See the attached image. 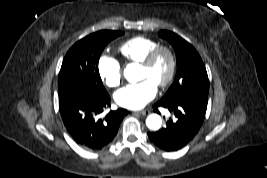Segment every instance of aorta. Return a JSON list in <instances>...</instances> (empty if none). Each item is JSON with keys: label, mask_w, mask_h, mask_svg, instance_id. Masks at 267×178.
<instances>
[{"label": "aorta", "mask_w": 267, "mask_h": 178, "mask_svg": "<svg viewBox=\"0 0 267 178\" xmlns=\"http://www.w3.org/2000/svg\"><path fill=\"white\" fill-rule=\"evenodd\" d=\"M124 76L129 82L137 81V71L133 66L124 70ZM146 125L151 130H158L162 125V119L158 114H150L146 119Z\"/></svg>", "instance_id": "762f6f07"}]
</instances>
